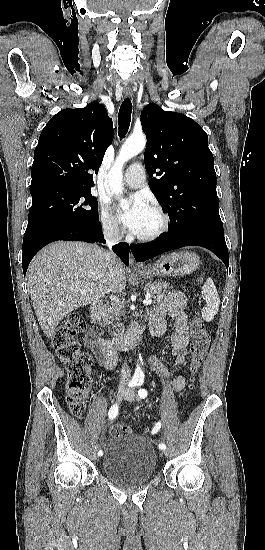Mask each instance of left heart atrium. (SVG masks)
<instances>
[{"label": "left heart atrium", "mask_w": 265, "mask_h": 550, "mask_svg": "<svg viewBox=\"0 0 265 550\" xmlns=\"http://www.w3.org/2000/svg\"><path fill=\"white\" fill-rule=\"evenodd\" d=\"M150 210V206L141 194L130 197L129 207L122 209L118 206V215L121 223L132 233L136 234L142 220Z\"/></svg>", "instance_id": "obj_1"}]
</instances>
